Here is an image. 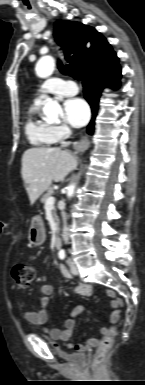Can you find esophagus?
<instances>
[{"mask_svg": "<svg viewBox=\"0 0 145 385\" xmlns=\"http://www.w3.org/2000/svg\"><path fill=\"white\" fill-rule=\"evenodd\" d=\"M88 146H89V140H88V138H84V139H82L80 142H78V143L76 144V148H77L78 150H81V151L86 150V149L88 148Z\"/></svg>", "mask_w": 145, "mask_h": 385, "instance_id": "1", "label": "esophagus"}]
</instances>
